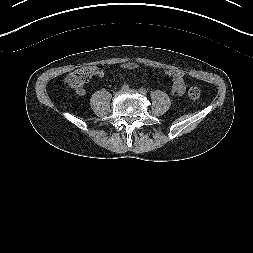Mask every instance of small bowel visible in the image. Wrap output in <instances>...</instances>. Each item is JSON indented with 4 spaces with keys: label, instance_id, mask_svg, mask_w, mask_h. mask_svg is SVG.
I'll return each instance as SVG.
<instances>
[{
    "label": "small bowel",
    "instance_id": "obj_1",
    "mask_svg": "<svg viewBox=\"0 0 253 253\" xmlns=\"http://www.w3.org/2000/svg\"><path fill=\"white\" fill-rule=\"evenodd\" d=\"M123 67L127 68V69H134V68H137V64L127 62V63L123 64ZM91 69H92L93 74H95L99 77L104 76L103 70H101L97 67H91ZM165 73L172 78V88H171L172 95H174V96L181 95L185 90L183 72H181L179 70H175V69H168L165 71ZM85 93H86V90L84 88L77 91V94H79V95H84Z\"/></svg>",
    "mask_w": 253,
    "mask_h": 253
}]
</instances>
